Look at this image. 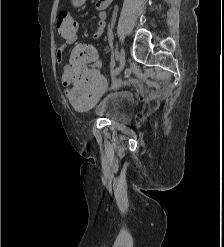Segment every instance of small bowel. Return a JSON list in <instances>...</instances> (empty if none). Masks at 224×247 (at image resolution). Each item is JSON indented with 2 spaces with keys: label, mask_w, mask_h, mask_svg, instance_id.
Segmentation results:
<instances>
[{
  "label": "small bowel",
  "mask_w": 224,
  "mask_h": 247,
  "mask_svg": "<svg viewBox=\"0 0 224 247\" xmlns=\"http://www.w3.org/2000/svg\"><path fill=\"white\" fill-rule=\"evenodd\" d=\"M74 5H81L85 2V0H72ZM96 22H97V28L95 33L93 34V38L97 39L99 38L105 31L106 28V13L104 11H99L97 15L95 16ZM76 41V36L66 39L65 43L57 50L56 52V61L58 63H61L63 61V50L70 44L74 43ZM61 81L63 84H67L69 79L67 76V73L64 72L61 77ZM66 96H68V90L65 91Z\"/></svg>",
  "instance_id": "obj_1"
}]
</instances>
